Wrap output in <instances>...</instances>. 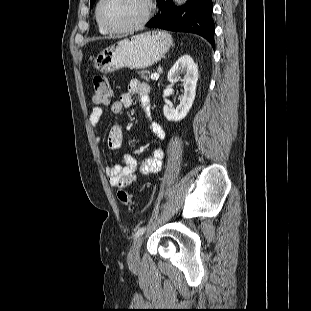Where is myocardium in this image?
I'll use <instances>...</instances> for the list:
<instances>
[{
	"instance_id": "1",
	"label": "myocardium",
	"mask_w": 311,
	"mask_h": 311,
	"mask_svg": "<svg viewBox=\"0 0 311 311\" xmlns=\"http://www.w3.org/2000/svg\"><path fill=\"white\" fill-rule=\"evenodd\" d=\"M104 2H105V0H99L98 4L96 6L95 15H96L97 22L110 33L127 34V33L135 32V31L141 29L142 27H144L150 19V15H151V11H152V1L151 0H143L144 12H143V15L141 16V18L137 22H135L134 24H132L128 27H124V28L113 27V26L109 25L108 23H106L101 16V8H102V5L104 4Z\"/></svg>"
}]
</instances>
